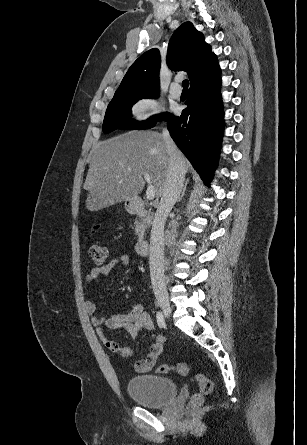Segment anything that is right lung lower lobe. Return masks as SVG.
I'll use <instances>...</instances> for the list:
<instances>
[{
  "mask_svg": "<svg viewBox=\"0 0 307 445\" xmlns=\"http://www.w3.org/2000/svg\"><path fill=\"white\" fill-rule=\"evenodd\" d=\"M220 89L217 65L191 84L188 108L182 115L164 119L173 140L207 185L217 165L224 128Z\"/></svg>",
  "mask_w": 307,
  "mask_h": 445,
  "instance_id": "obj_1",
  "label": "right lung lower lobe"
}]
</instances>
